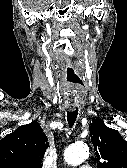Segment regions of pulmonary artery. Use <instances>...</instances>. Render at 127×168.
<instances>
[{
	"label": "pulmonary artery",
	"mask_w": 127,
	"mask_h": 168,
	"mask_svg": "<svg viewBox=\"0 0 127 168\" xmlns=\"http://www.w3.org/2000/svg\"><path fill=\"white\" fill-rule=\"evenodd\" d=\"M78 168H92V167L88 164H83V165H80Z\"/></svg>",
	"instance_id": "e3ab8cb5"
}]
</instances>
